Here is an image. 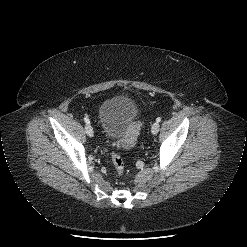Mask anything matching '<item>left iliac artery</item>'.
Returning a JSON list of instances; mask_svg holds the SVG:
<instances>
[{
	"mask_svg": "<svg viewBox=\"0 0 247 247\" xmlns=\"http://www.w3.org/2000/svg\"><path fill=\"white\" fill-rule=\"evenodd\" d=\"M161 121V117H158L157 119H156V122H160Z\"/></svg>",
	"mask_w": 247,
	"mask_h": 247,
	"instance_id": "left-iliac-artery-1",
	"label": "left iliac artery"
}]
</instances>
